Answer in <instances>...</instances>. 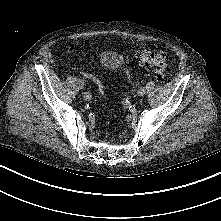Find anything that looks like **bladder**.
I'll use <instances>...</instances> for the list:
<instances>
[{
    "mask_svg": "<svg viewBox=\"0 0 221 221\" xmlns=\"http://www.w3.org/2000/svg\"><path fill=\"white\" fill-rule=\"evenodd\" d=\"M101 63L109 70H117L121 66L122 60L118 54L108 51L101 55Z\"/></svg>",
    "mask_w": 221,
    "mask_h": 221,
    "instance_id": "31cf9c89",
    "label": "bladder"
}]
</instances>
